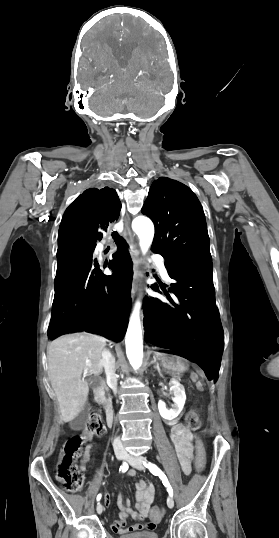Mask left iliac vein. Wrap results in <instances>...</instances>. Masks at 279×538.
Instances as JSON below:
<instances>
[{
    "instance_id": "4c4485c4",
    "label": "left iliac vein",
    "mask_w": 279,
    "mask_h": 538,
    "mask_svg": "<svg viewBox=\"0 0 279 538\" xmlns=\"http://www.w3.org/2000/svg\"><path fill=\"white\" fill-rule=\"evenodd\" d=\"M125 459L134 468H136L138 470H144L143 463L146 461V458H144L142 456L127 454ZM167 505H168L169 508L174 507V500H173L172 496H169L167 498Z\"/></svg>"
}]
</instances>
